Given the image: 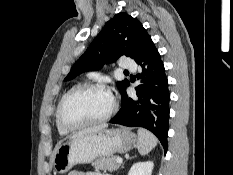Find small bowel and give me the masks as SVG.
Wrapping results in <instances>:
<instances>
[{"mask_svg":"<svg viewBox=\"0 0 233 175\" xmlns=\"http://www.w3.org/2000/svg\"><path fill=\"white\" fill-rule=\"evenodd\" d=\"M68 175H110V174L101 173V172H97V171H78V170H74V171H71Z\"/></svg>","mask_w":233,"mask_h":175,"instance_id":"small-bowel-1","label":"small bowel"}]
</instances>
